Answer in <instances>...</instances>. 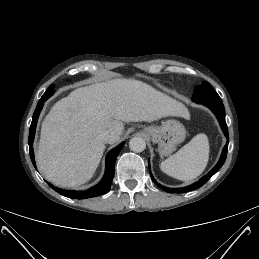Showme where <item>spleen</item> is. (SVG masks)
Returning a JSON list of instances; mask_svg holds the SVG:
<instances>
[{
  "label": "spleen",
  "instance_id": "1",
  "mask_svg": "<svg viewBox=\"0 0 259 259\" xmlns=\"http://www.w3.org/2000/svg\"><path fill=\"white\" fill-rule=\"evenodd\" d=\"M209 152L208 137L203 133L197 134L178 152L161 162L160 169L178 180H193L205 170Z\"/></svg>",
  "mask_w": 259,
  "mask_h": 259
}]
</instances>
